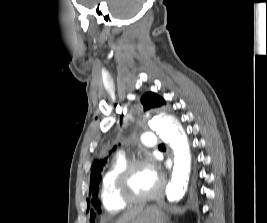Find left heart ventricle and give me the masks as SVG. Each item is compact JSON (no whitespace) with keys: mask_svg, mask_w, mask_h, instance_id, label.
I'll use <instances>...</instances> for the list:
<instances>
[{"mask_svg":"<svg viewBox=\"0 0 267 223\" xmlns=\"http://www.w3.org/2000/svg\"><path fill=\"white\" fill-rule=\"evenodd\" d=\"M159 184V178L154 171L147 167H138L131 174L127 191L130 195L141 196L154 191Z\"/></svg>","mask_w":267,"mask_h":223,"instance_id":"left-heart-ventricle-1","label":"left heart ventricle"}]
</instances>
